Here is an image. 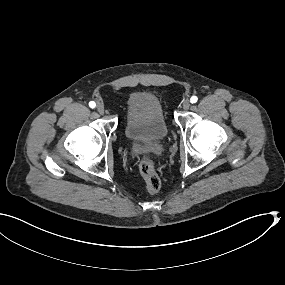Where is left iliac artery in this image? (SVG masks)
<instances>
[{"instance_id": "left-iliac-artery-1", "label": "left iliac artery", "mask_w": 285, "mask_h": 285, "mask_svg": "<svg viewBox=\"0 0 285 285\" xmlns=\"http://www.w3.org/2000/svg\"><path fill=\"white\" fill-rule=\"evenodd\" d=\"M198 100V98L196 96H192L191 99H190V102L191 103H196Z\"/></svg>"}]
</instances>
